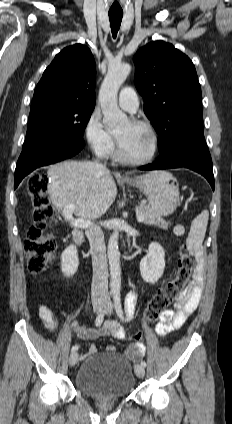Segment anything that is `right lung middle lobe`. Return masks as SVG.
Masks as SVG:
<instances>
[{
    "mask_svg": "<svg viewBox=\"0 0 232 424\" xmlns=\"http://www.w3.org/2000/svg\"><path fill=\"white\" fill-rule=\"evenodd\" d=\"M93 109L66 104L31 108L24 144L36 137L81 140Z\"/></svg>",
    "mask_w": 232,
    "mask_h": 424,
    "instance_id": "dd1d6c3e",
    "label": "right lung middle lobe"
}]
</instances>
